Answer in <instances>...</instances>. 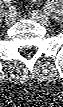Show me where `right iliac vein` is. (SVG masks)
<instances>
[{"label": "right iliac vein", "instance_id": "63e3f726", "mask_svg": "<svg viewBox=\"0 0 63 107\" xmlns=\"http://www.w3.org/2000/svg\"><path fill=\"white\" fill-rule=\"evenodd\" d=\"M14 20V15L11 12L5 13V21L6 23H11Z\"/></svg>", "mask_w": 63, "mask_h": 107}]
</instances>
